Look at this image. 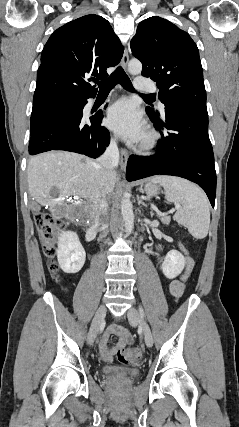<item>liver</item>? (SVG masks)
<instances>
[{
  "instance_id": "obj_1",
  "label": "liver",
  "mask_w": 239,
  "mask_h": 427,
  "mask_svg": "<svg viewBox=\"0 0 239 427\" xmlns=\"http://www.w3.org/2000/svg\"><path fill=\"white\" fill-rule=\"evenodd\" d=\"M27 176L30 196L41 206H48L54 217H61L68 211L66 198L78 196L88 201L83 210L94 221L97 203L103 195L112 194L117 181L116 172L104 176L97 161L62 151L33 156Z\"/></svg>"
}]
</instances>
